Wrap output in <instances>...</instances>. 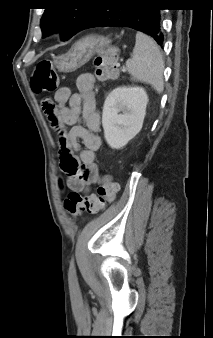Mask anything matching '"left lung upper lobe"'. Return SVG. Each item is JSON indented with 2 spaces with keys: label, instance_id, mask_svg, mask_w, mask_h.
I'll return each mask as SVG.
<instances>
[{
  "label": "left lung upper lobe",
  "instance_id": "left-lung-upper-lobe-1",
  "mask_svg": "<svg viewBox=\"0 0 213 338\" xmlns=\"http://www.w3.org/2000/svg\"><path fill=\"white\" fill-rule=\"evenodd\" d=\"M105 0H47L41 28L43 37L59 30L68 40L82 28L88 17Z\"/></svg>",
  "mask_w": 213,
  "mask_h": 338
}]
</instances>
